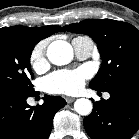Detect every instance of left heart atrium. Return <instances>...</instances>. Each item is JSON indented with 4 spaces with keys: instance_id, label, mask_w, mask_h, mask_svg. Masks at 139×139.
Wrapping results in <instances>:
<instances>
[{
    "instance_id": "left-heart-atrium-1",
    "label": "left heart atrium",
    "mask_w": 139,
    "mask_h": 139,
    "mask_svg": "<svg viewBox=\"0 0 139 139\" xmlns=\"http://www.w3.org/2000/svg\"><path fill=\"white\" fill-rule=\"evenodd\" d=\"M89 73L84 68L60 70L51 73L44 80L48 92L59 94H75L81 90Z\"/></svg>"
}]
</instances>
